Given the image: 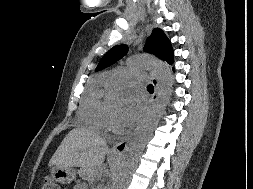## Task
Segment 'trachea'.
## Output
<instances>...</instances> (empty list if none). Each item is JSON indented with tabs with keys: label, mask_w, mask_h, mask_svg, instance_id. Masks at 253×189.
I'll return each instance as SVG.
<instances>
[{
	"label": "trachea",
	"mask_w": 253,
	"mask_h": 189,
	"mask_svg": "<svg viewBox=\"0 0 253 189\" xmlns=\"http://www.w3.org/2000/svg\"><path fill=\"white\" fill-rule=\"evenodd\" d=\"M147 90L153 92V90H154L153 85H152V84H149V85L147 86Z\"/></svg>",
	"instance_id": "3493384b"
}]
</instances>
